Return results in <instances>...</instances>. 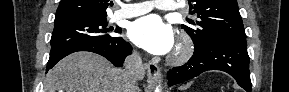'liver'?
Masks as SVG:
<instances>
[{
	"mask_svg": "<svg viewBox=\"0 0 289 92\" xmlns=\"http://www.w3.org/2000/svg\"><path fill=\"white\" fill-rule=\"evenodd\" d=\"M44 92H140L126 88L124 70L104 57L75 52L59 61L46 75Z\"/></svg>",
	"mask_w": 289,
	"mask_h": 92,
	"instance_id": "obj_1",
	"label": "liver"
}]
</instances>
